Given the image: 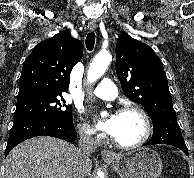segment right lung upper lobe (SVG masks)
Segmentation results:
<instances>
[{
    "label": "right lung upper lobe",
    "instance_id": "right-lung-upper-lobe-1",
    "mask_svg": "<svg viewBox=\"0 0 194 178\" xmlns=\"http://www.w3.org/2000/svg\"><path fill=\"white\" fill-rule=\"evenodd\" d=\"M82 54V42L67 30L37 44L24 61L17 101L67 92L70 73Z\"/></svg>",
    "mask_w": 194,
    "mask_h": 178
}]
</instances>
